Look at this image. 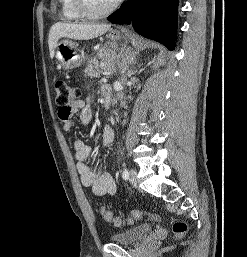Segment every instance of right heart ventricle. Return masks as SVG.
<instances>
[{"label":"right heart ventricle","mask_w":247,"mask_h":257,"mask_svg":"<svg viewBox=\"0 0 247 257\" xmlns=\"http://www.w3.org/2000/svg\"><path fill=\"white\" fill-rule=\"evenodd\" d=\"M61 6V17L66 21L80 20L83 17L75 7L74 0H59Z\"/></svg>","instance_id":"1"}]
</instances>
